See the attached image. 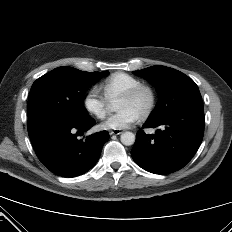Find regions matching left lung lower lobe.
Returning a JSON list of instances; mask_svg holds the SVG:
<instances>
[{
	"mask_svg": "<svg viewBox=\"0 0 232 232\" xmlns=\"http://www.w3.org/2000/svg\"><path fill=\"white\" fill-rule=\"evenodd\" d=\"M162 126L154 135L142 130L131 150L141 168L155 174H168L183 168L198 150L204 134L203 103L180 107L158 120L147 119L144 128Z\"/></svg>",
	"mask_w": 232,
	"mask_h": 232,
	"instance_id": "1",
	"label": "left lung lower lobe"
}]
</instances>
